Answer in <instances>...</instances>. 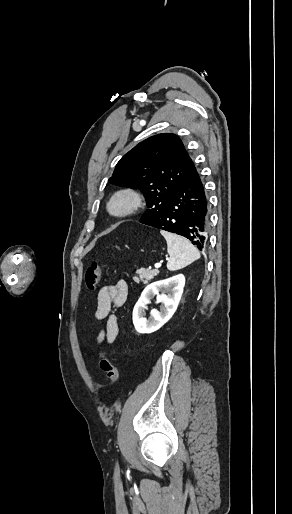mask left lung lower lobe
Returning a JSON list of instances; mask_svg holds the SVG:
<instances>
[{"mask_svg":"<svg viewBox=\"0 0 292 514\" xmlns=\"http://www.w3.org/2000/svg\"><path fill=\"white\" fill-rule=\"evenodd\" d=\"M208 223L207 197L193 163L160 214L144 224L182 235L202 250L207 244Z\"/></svg>","mask_w":292,"mask_h":514,"instance_id":"left-lung-lower-lobe-1","label":"left lung lower lobe"}]
</instances>
